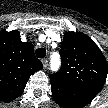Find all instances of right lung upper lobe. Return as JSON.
Masks as SVG:
<instances>
[{"mask_svg":"<svg viewBox=\"0 0 108 108\" xmlns=\"http://www.w3.org/2000/svg\"><path fill=\"white\" fill-rule=\"evenodd\" d=\"M42 68L33 45L22 42L17 30L0 32V101L19 97L30 76Z\"/></svg>","mask_w":108,"mask_h":108,"instance_id":"obj_1","label":"right lung upper lobe"}]
</instances>
